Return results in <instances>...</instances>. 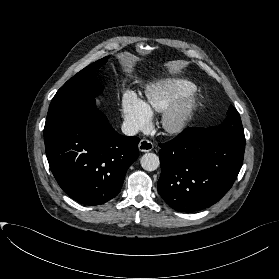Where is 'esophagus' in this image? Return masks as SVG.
<instances>
[{
	"label": "esophagus",
	"mask_w": 279,
	"mask_h": 279,
	"mask_svg": "<svg viewBox=\"0 0 279 279\" xmlns=\"http://www.w3.org/2000/svg\"><path fill=\"white\" fill-rule=\"evenodd\" d=\"M138 148L141 152H149L153 149V143L147 139H142L139 142Z\"/></svg>",
	"instance_id": "34e87169"
}]
</instances>
